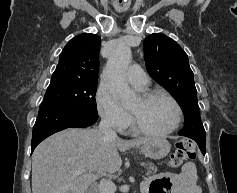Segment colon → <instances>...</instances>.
Wrapping results in <instances>:
<instances>
[{"label":"colon","instance_id":"colon-1","mask_svg":"<svg viewBox=\"0 0 237 193\" xmlns=\"http://www.w3.org/2000/svg\"><path fill=\"white\" fill-rule=\"evenodd\" d=\"M196 158V147L194 143L188 140H180L176 144V150L169 159V166L178 167L187 160Z\"/></svg>","mask_w":237,"mask_h":193}]
</instances>
